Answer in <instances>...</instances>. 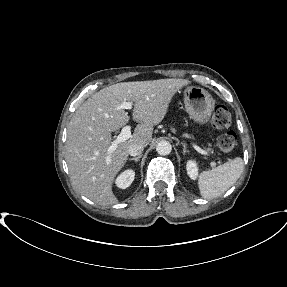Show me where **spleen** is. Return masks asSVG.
I'll return each mask as SVG.
<instances>
[{
  "mask_svg": "<svg viewBox=\"0 0 287 287\" xmlns=\"http://www.w3.org/2000/svg\"><path fill=\"white\" fill-rule=\"evenodd\" d=\"M242 172L243 160L240 157L201 172L198 180L201 196L205 199L219 197L236 183Z\"/></svg>",
  "mask_w": 287,
  "mask_h": 287,
  "instance_id": "3e777b00",
  "label": "spleen"
}]
</instances>
